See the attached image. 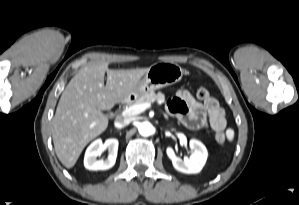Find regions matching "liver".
<instances>
[{
	"instance_id": "liver-1",
	"label": "liver",
	"mask_w": 299,
	"mask_h": 205,
	"mask_svg": "<svg viewBox=\"0 0 299 205\" xmlns=\"http://www.w3.org/2000/svg\"><path fill=\"white\" fill-rule=\"evenodd\" d=\"M148 69L113 70L98 63L82 68L70 80L52 121L55 152L66 168H72L85 146L106 130L108 118L102 111L127 100Z\"/></svg>"
}]
</instances>
